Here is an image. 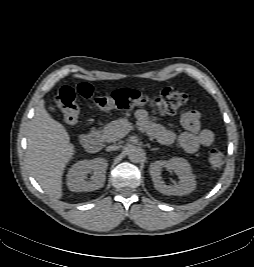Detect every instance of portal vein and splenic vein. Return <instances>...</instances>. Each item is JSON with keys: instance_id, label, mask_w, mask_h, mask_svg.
I'll list each match as a JSON object with an SVG mask.
<instances>
[{"instance_id": "18ae733b", "label": "portal vein and splenic vein", "mask_w": 254, "mask_h": 267, "mask_svg": "<svg viewBox=\"0 0 254 267\" xmlns=\"http://www.w3.org/2000/svg\"><path fill=\"white\" fill-rule=\"evenodd\" d=\"M130 130H131V127H130V126L125 127V128L123 129V135H126Z\"/></svg>"}]
</instances>
